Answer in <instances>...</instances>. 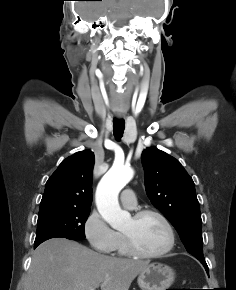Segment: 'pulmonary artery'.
I'll use <instances>...</instances> for the list:
<instances>
[{"label":"pulmonary artery","instance_id":"pulmonary-artery-1","mask_svg":"<svg viewBox=\"0 0 236 290\" xmlns=\"http://www.w3.org/2000/svg\"><path fill=\"white\" fill-rule=\"evenodd\" d=\"M121 203L124 207L132 209L137 204L136 194L132 189H125L121 194Z\"/></svg>","mask_w":236,"mask_h":290}]
</instances>
